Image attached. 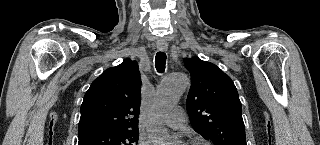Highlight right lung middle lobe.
I'll use <instances>...</instances> for the list:
<instances>
[{
    "mask_svg": "<svg viewBox=\"0 0 320 145\" xmlns=\"http://www.w3.org/2000/svg\"><path fill=\"white\" fill-rule=\"evenodd\" d=\"M138 130H107L79 136L78 145H136Z\"/></svg>",
    "mask_w": 320,
    "mask_h": 145,
    "instance_id": "obj_1",
    "label": "right lung middle lobe"
}]
</instances>
